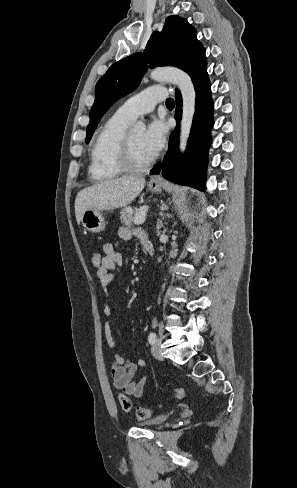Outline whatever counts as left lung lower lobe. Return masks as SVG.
Wrapping results in <instances>:
<instances>
[{
	"label": "left lung lower lobe",
	"mask_w": 297,
	"mask_h": 488,
	"mask_svg": "<svg viewBox=\"0 0 297 488\" xmlns=\"http://www.w3.org/2000/svg\"><path fill=\"white\" fill-rule=\"evenodd\" d=\"M192 81L196 90V106L185 155L181 160L178 148L179 128H176L170 136L169 150L163 162L158 163L150 174H159L161 171L163 177L171 182L205 191L214 105L207 72L201 73ZM175 99V119L180 122L182 102L178 90Z\"/></svg>",
	"instance_id": "0a47b994"
}]
</instances>
